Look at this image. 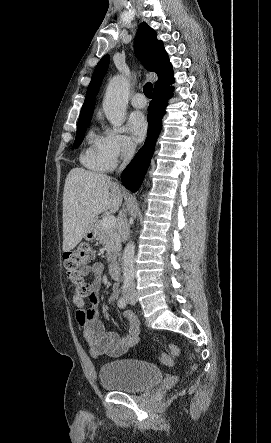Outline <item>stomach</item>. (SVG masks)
I'll return each mask as SVG.
<instances>
[{
	"instance_id": "obj_1",
	"label": "stomach",
	"mask_w": 271,
	"mask_h": 443,
	"mask_svg": "<svg viewBox=\"0 0 271 443\" xmlns=\"http://www.w3.org/2000/svg\"><path fill=\"white\" fill-rule=\"evenodd\" d=\"M96 222H93L90 229H88L87 233H85L84 237L87 239V241H93V239H96L98 235V231L96 229Z\"/></svg>"
}]
</instances>
